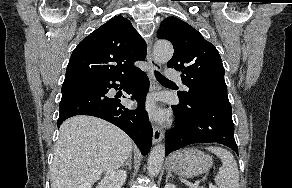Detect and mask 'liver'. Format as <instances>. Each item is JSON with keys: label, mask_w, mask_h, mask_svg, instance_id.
I'll list each match as a JSON object with an SVG mask.
<instances>
[{"label": "liver", "mask_w": 292, "mask_h": 188, "mask_svg": "<svg viewBox=\"0 0 292 188\" xmlns=\"http://www.w3.org/2000/svg\"><path fill=\"white\" fill-rule=\"evenodd\" d=\"M132 140L118 127L79 115L62 123L50 169L51 188H92L129 158Z\"/></svg>", "instance_id": "liver-1"}]
</instances>
